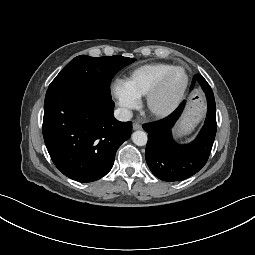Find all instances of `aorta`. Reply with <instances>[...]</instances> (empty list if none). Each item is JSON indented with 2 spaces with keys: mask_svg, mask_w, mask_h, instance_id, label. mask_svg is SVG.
Wrapping results in <instances>:
<instances>
[{
  "mask_svg": "<svg viewBox=\"0 0 255 255\" xmlns=\"http://www.w3.org/2000/svg\"><path fill=\"white\" fill-rule=\"evenodd\" d=\"M147 140H148V137H147L146 132H144V131L138 130V131H135L132 134V141L137 146H144V145H146Z\"/></svg>",
  "mask_w": 255,
  "mask_h": 255,
  "instance_id": "obj_1",
  "label": "aorta"
}]
</instances>
